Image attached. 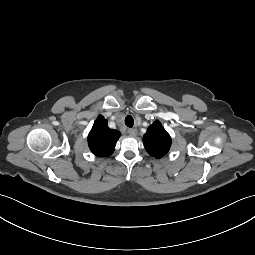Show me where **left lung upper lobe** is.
<instances>
[{
	"instance_id": "left-lung-upper-lobe-1",
	"label": "left lung upper lobe",
	"mask_w": 255,
	"mask_h": 255,
	"mask_svg": "<svg viewBox=\"0 0 255 255\" xmlns=\"http://www.w3.org/2000/svg\"><path fill=\"white\" fill-rule=\"evenodd\" d=\"M143 143L146 151L156 158L163 157L170 149L171 137L159 121L148 127L144 134Z\"/></svg>"
}]
</instances>
